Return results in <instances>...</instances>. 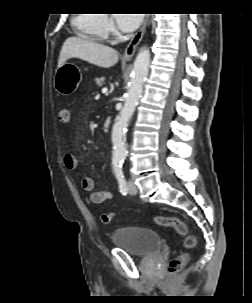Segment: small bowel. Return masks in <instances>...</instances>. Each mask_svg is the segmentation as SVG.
Here are the masks:
<instances>
[{
    "label": "small bowel",
    "instance_id": "small-bowel-1",
    "mask_svg": "<svg viewBox=\"0 0 252 303\" xmlns=\"http://www.w3.org/2000/svg\"><path fill=\"white\" fill-rule=\"evenodd\" d=\"M63 162L68 170L77 168V158L73 153H66L63 157ZM82 187L89 193V201L94 204H101L111 199L113 196L108 191H94V181L91 177H84L81 180Z\"/></svg>",
    "mask_w": 252,
    "mask_h": 303
}]
</instances>
